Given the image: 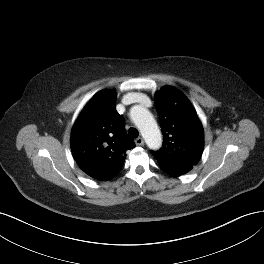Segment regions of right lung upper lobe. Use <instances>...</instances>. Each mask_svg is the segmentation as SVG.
I'll list each match as a JSON object with an SVG mask.
<instances>
[{"label": "right lung upper lobe", "mask_w": 264, "mask_h": 264, "mask_svg": "<svg viewBox=\"0 0 264 264\" xmlns=\"http://www.w3.org/2000/svg\"><path fill=\"white\" fill-rule=\"evenodd\" d=\"M116 93L103 90L84 107L71 133V150L89 176L106 181L122 168L126 151L135 147L125 131V119L115 108Z\"/></svg>", "instance_id": "1"}]
</instances>
